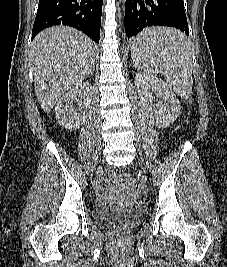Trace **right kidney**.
<instances>
[{
    "instance_id": "obj_1",
    "label": "right kidney",
    "mask_w": 227,
    "mask_h": 267,
    "mask_svg": "<svg viewBox=\"0 0 227 267\" xmlns=\"http://www.w3.org/2000/svg\"><path fill=\"white\" fill-rule=\"evenodd\" d=\"M91 84L86 81L66 92L57 102L58 123L68 130H76L84 123L91 102Z\"/></svg>"
}]
</instances>
